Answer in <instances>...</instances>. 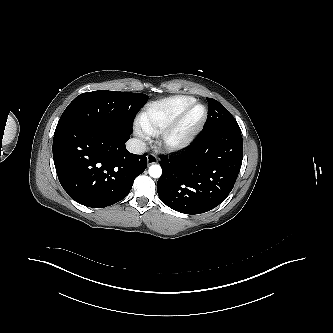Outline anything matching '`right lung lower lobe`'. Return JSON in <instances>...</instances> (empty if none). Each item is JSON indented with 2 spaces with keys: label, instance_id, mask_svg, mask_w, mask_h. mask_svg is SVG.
Wrapping results in <instances>:
<instances>
[{
  "label": "right lung lower lobe",
  "instance_id": "obj_1",
  "mask_svg": "<svg viewBox=\"0 0 333 333\" xmlns=\"http://www.w3.org/2000/svg\"><path fill=\"white\" fill-rule=\"evenodd\" d=\"M131 133L57 126L53 159L66 193L87 207L102 208L124 199L133 182L146 169L145 154L127 151Z\"/></svg>",
  "mask_w": 333,
  "mask_h": 333
}]
</instances>
